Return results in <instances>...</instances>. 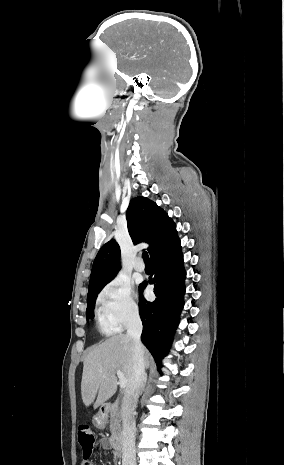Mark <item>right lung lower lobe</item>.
Masks as SVG:
<instances>
[{"label": "right lung lower lobe", "mask_w": 284, "mask_h": 465, "mask_svg": "<svg viewBox=\"0 0 284 465\" xmlns=\"http://www.w3.org/2000/svg\"><path fill=\"white\" fill-rule=\"evenodd\" d=\"M180 239L177 238L165 249L151 258L152 277L156 299L148 302L143 296L147 282L139 286V313L143 322L141 340L154 357L158 370L161 359L167 354L180 313L184 306L185 278Z\"/></svg>", "instance_id": "obj_1"}]
</instances>
